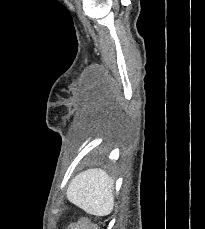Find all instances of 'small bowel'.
<instances>
[{"mask_svg":"<svg viewBox=\"0 0 205 229\" xmlns=\"http://www.w3.org/2000/svg\"><path fill=\"white\" fill-rule=\"evenodd\" d=\"M72 229H94V228L87 222H81L78 225L74 226Z\"/></svg>","mask_w":205,"mask_h":229,"instance_id":"1","label":"small bowel"}]
</instances>
